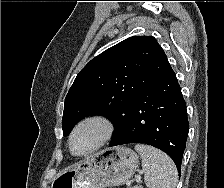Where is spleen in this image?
I'll use <instances>...</instances> for the list:
<instances>
[{
    "instance_id": "1",
    "label": "spleen",
    "mask_w": 224,
    "mask_h": 188,
    "mask_svg": "<svg viewBox=\"0 0 224 188\" xmlns=\"http://www.w3.org/2000/svg\"><path fill=\"white\" fill-rule=\"evenodd\" d=\"M141 155L145 184L148 188H175L178 172L172 159L162 151L145 144H136Z\"/></svg>"
}]
</instances>
